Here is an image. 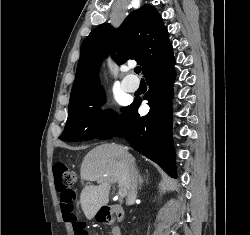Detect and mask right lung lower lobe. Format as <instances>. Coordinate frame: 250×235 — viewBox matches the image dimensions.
<instances>
[{
    "mask_svg": "<svg viewBox=\"0 0 250 235\" xmlns=\"http://www.w3.org/2000/svg\"><path fill=\"white\" fill-rule=\"evenodd\" d=\"M175 59L172 45L147 68L145 78L149 91L144 100L150 111L146 116L137 112L141 99L123 109L122 114L97 139L124 137L133 149L160 165L176 177L175 152L172 143V98L175 80Z\"/></svg>",
    "mask_w": 250,
    "mask_h": 235,
    "instance_id": "right-lung-lower-lobe-1",
    "label": "right lung lower lobe"
}]
</instances>
